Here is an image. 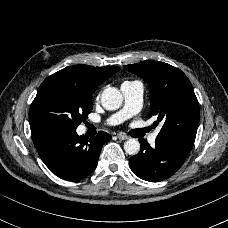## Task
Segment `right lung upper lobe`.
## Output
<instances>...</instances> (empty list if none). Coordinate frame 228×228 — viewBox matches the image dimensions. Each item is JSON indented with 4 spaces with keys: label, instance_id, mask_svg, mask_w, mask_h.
Wrapping results in <instances>:
<instances>
[{
    "label": "right lung upper lobe",
    "instance_id": "obj_1",
    "mask_svg": "<svg viewBox=\"0 0 228 228\" xmlns=\"http://www.w3.org/2000/svg\"><path fill=\"white\" fill-rule=\"evenodd\" d=\"M120 68L116 66L110 67H94L88 65H76L66 67L51 76L75 81L83 89L93 93L99 84L111 77Z\"/></svg>",
    "mask_w": 228,
    "mask_h": 228
}]
</instances>
